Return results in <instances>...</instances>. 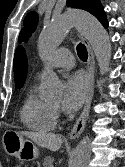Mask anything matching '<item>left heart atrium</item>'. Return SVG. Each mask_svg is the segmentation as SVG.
Listing matches in <instances>:
<instances>
[{
    "label": "left heart atrium",
    "mask_w": 125,
    "mask_h": 167,
    "mask_svg": "<svg viewBox=\"0 0 125 167\" xmlns=\"http://www.w3.org/2000/svg\"><path fill=\"white\" fill-rule=\"evenodd\" d=\"M88 91L87 78L80 72L69 75L64 82L62 108L66 112H75L83 104Z\"/></svg>",
    "instance_id": "1"
}]
</instances>
